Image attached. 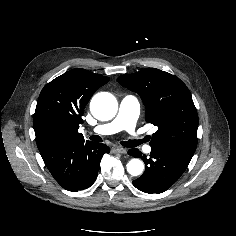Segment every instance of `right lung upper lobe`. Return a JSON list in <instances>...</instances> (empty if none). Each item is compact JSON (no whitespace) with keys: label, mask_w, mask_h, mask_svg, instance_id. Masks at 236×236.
Instances as JSON below:
<instances>
[{"label":"right lung upper lobe","mask_w":236,"mask_h":236,"mask_svg":"<svg viewBox=\"0 0 236 236\" xmlns=\"http://www.w3.org/2000/svg\"><path fill=\"white\" fill-rule=\"evenodd\" d=\"M108 81L109 77L72 69L44 86L33 119L39 151L73 139L84 140L78 133L84 106Z\"/></svg>","instance_id":"obj_1"}]
</instances>
